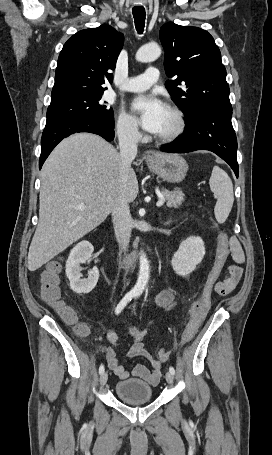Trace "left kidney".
Returning <instances> with one entry per match:
<instances>
[{
  "label": "left kidney",
  "instance_id": "obj_1",
  "mask_svg": "<svg viewBox=\"0 0 272 455\" xmlns=\"http://www.w3.org/2000/svg\"><path fill=\"white\" fill-rule=\"evenodd\" d=\"M205 255L204 242L200 237L191 236L181 242L173 255L171 264L179 276H187L195 270Z\"/></svg>",
  "mask_w": 272,
  "mask_h": 455
}]
</instances>
